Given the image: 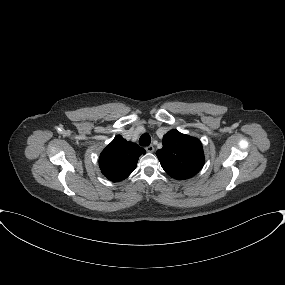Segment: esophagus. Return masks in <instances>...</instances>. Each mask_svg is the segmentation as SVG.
<instances>
[{
    "instance_id": "esophagus-1",
    "label": "esophagus",
    "mask_w": 285,
    "mask_h": 285,
    "mask_svg": "<svg viewBox=\"0 0 285 285\" xmlns=\"http://www.w3.org/2000/svg\"><path fill=\"white\" fill-rule=\"evenodd\" d=\"M146 151L151 153V152H154V146L153 145H149L146 147Z\"/></svg>"
}]
</instances>
